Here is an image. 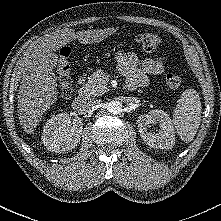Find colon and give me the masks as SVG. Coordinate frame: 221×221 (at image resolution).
<instances>
[{"mask_svg":"<svg viewBox=\"0 0 221 221\" xmlns=\"http://www.w3.org/2000/svg\"><path fill=\"white\" fill-rule=\"evenodd\" d=\"M135 43L146 53L156 52L161 45V38L153 33H140L134 38ZM71 49L69 46H62L59 50L56 71L58 75V91L61 98L67 99L71 96V78L69 58ZM165 86L169 90H177L181 85V78L175 73H168L164 78Z\"/></svg>","mask_w":221,"mask_h":221,"instance_id":"1","label":"colon"}]
</instances>
